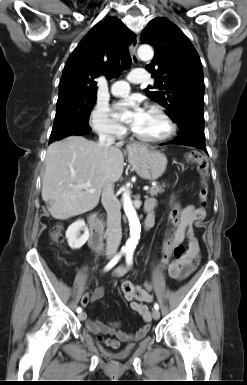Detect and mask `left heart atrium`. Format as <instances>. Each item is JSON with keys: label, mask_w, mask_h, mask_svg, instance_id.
Here are the masks:
<instances>
[{"label": "left heart atrium", "mask_w": 247, "mask_h": 385, "mask_svg": "<svg viewBox=\"0 0 247 385\" xmlns=\"http://www.w3.org/2000/svg\"><path fill=\"white\" fill-rule=\"evenodd\" d=\"M126 109H129L131 111L132 126L137 124L142 119L145 112V110L140 106L139 102L135 99H130V100L121 102L116 106L118 115L120 112Z\"/></svg>", "instance_id": "39dd6f15"}]
</instances>
